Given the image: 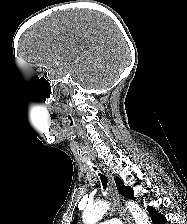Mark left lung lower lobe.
<instances>
[{"label": "left lung lower lobe", "mask_w": 187, "mask_h": 224, "mask_svg": "<svg viewBox=\"0 0 187 224\" xmlns=\"http://www.w3.org/2000/svg\"><path fill=\"white\" fill-rule=\"evenodd\" d=\"M147 209L151 216L152 224H166L165 217L163 215L157 213L153 207L148 206Z\"/></svg>", "instance_id": "1"}]
</instances>
